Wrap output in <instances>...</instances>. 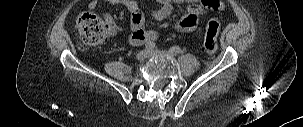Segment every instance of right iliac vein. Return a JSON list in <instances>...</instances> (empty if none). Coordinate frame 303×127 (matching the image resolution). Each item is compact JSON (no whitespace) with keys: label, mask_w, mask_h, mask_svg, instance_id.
Returning <instances> with one entry per match:
<instances>
[{"label":"right iliac vein","mask_w":303,"mask_h":127,"mask_svg":"<svg viewBox=\"0 0 303 127\" xmlns=\"http://www.w3.org/2000/svg\"><path fill=\"white\" fill-rule=\"evenodd\" d=\"M148 52L146 50H141L137 53L136 58L139 61H143L147 58Z\"/></svg>","instance_id":"obj_1"}]
</instances>
